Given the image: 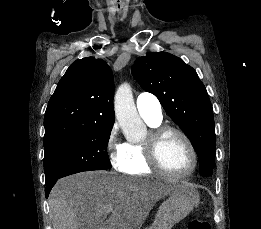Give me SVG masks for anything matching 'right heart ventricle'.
Here are the masks:
<instances>
[{
    "instance_id": "e07e8e85",
    "label": "right heart ventricle",
    "mask_w": 261,
    "mask_h": 229,
    "mask_svg": "<svg viewBox=\"0 0 261 229\" xmlns=\"http://www.w3.org/2000/svg\"><path fill=\"white\" fill-rule=\"evenodd\" d=\"M148 126L155 129L161 125L159 123H153L143 118ZM126 150L129 157V164L126 172L131 175H149L152 173L153 168L149 163L147 148L145 142L142 143H126Z\"/></svg>"
}]
</instances>
